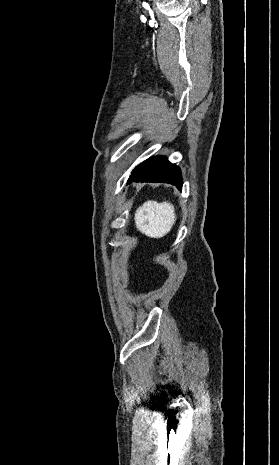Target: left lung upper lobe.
Here are the masks:
<instances>
[{"instance_id": "5c2ea615", "label": "left lung upper lobe", "mask_w": 279, "mask_h": 465, "mask_svg": "<svg viewBox=\"0 0 279 465\" xmlns=\"http://www.w3.org/2000/svg\"><path fill=\"white\" fill-rule=\"evenodd\" d=\"M151 158L145 160L144 162H142L140 165H138L132 172L131 176L132 177L136 172H138Z\"/></svg>"}]
</instances>
